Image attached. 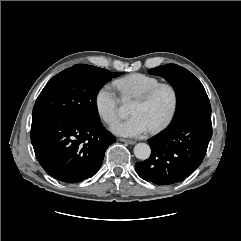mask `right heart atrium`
Returning a JSON list of instances; mask_svg holds the SVG:
<instances>
[{
	"instance_id": "1",
	"label": "right heart atrium",
	"mask_w": 241,
	"mask_h": 241,
	"mask_svg": "<svg viewBox=\"0 0 241 241\" xmlns=\"http://www.w3.org/2000/svg\"><path fill=\"white\" fill-rule=\"evenodd\" d=\"M95 108L106 124H112L118 115L119 98L112 86L103 85L94 98Z\"/></svg>"
}]
</instances>
